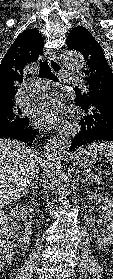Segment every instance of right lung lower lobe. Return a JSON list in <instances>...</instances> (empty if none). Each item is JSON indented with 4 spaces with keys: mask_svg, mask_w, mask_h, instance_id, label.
<instances>
[{
    "mask_svg": "<svg viewBox=\"0 0 113 279\" xmlns=\"http://www.w3.org/2000/svg\"><path fill=\"white\" fill-rule=\"evenodd\" d=\"M38 132L29 127V119L27 118L19 125H12L0 128V138H11L27 143L32 146L34 139L37 137Z\"/></svg>",
    "mask_w": 113,
    "mask_h": 279,
    "instance_id": "98d812e1",
    "label": "right lung lower lobe"
}]
</instances>
